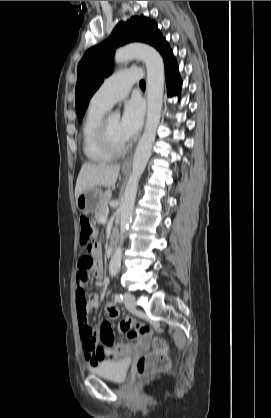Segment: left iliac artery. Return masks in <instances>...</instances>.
Instances as JSON below:
<instances>
[{
	"label": "left iliac artery",
	"instance_id": "1",
	"mask_svg": "<svg viewBox=\"0 0 271 418\" xmlns=\"http://www.w3.org/2000/svg\"><path fill=\"white\" fill-rule=\"evenodd\" d=\"M114 297H115L116 302H119V303L123 302V296L121 294L116 293Z\"/></svg>",
	"mask_w": 271,
	"mask_h": 418
}]
</instances>
